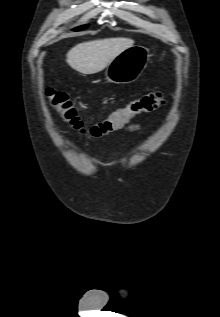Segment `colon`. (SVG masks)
<instances>
[{
    "mask_svg": "<svg viewBox=\"0 0 220 317\" xmlns=\"http://www.w3.org/2000/svg\"><path fill=\"white\" fill-rule=\"evenodd\" d=\"M47 98L61 118L73 129L81 132L89 131L94 136H104L117 131L125 127L136 116L152 112L165 103L161 92L147 93L114 110L102 121L87 128L74 103L65 93L49 90L47 91Z\"/></svg>",
    "mask_w": 220,
    "mask_h": 317,
    "instance_id": "colon-1",
    "label": "colon"
}]
</instances>
